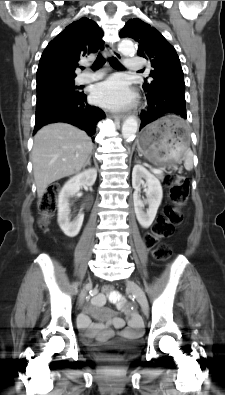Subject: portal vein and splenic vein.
Returning <instances> with one entry per match:
<instances>
[{"label": "portal vein and splenic vein", "instance_id": "portal-vein-and-splenic-vein-1", "mask_svg": "<svg viewBox=\"0 0 225 395\" xmlns=\"http://www.w3.org/2000/svg\"><path fill=\"white\" fill-rule=\"evenodd\" d=\"M152 172L155 173V174H159L162 171H161V169H152Z\"/></svg>", "mask_w": 225, "mask_h": 395}]
</instances>
